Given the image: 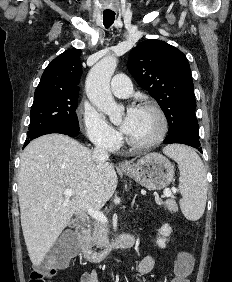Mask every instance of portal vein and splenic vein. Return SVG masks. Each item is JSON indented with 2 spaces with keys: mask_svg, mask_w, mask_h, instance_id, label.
<instances>
[{
  "mask_svg": "<svg viewBox=\"0 0 232 282\" xmlns=\"http://www.w3.org/2000/svg\"><path fill=\"white\" fill-rule=\"evenodd\" d=\"M64 195H65V197L69 198V197H72L74 195V192L70 188H65L64 189ZM164 196L165 197L172 196L171 190L170 189H165ZM87 212L96 221L102 222V223H108L107 217L101 211L93 209V208H89L87 210Z\"/></svg>",
  "mask_w": 232,
  "mask_h": 282,
  "instance_id": "1",
  "label": "portal vein and splenic vein"
}]
</instances>
